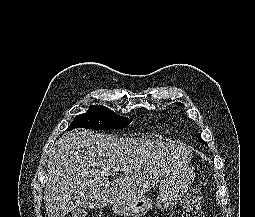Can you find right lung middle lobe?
Wrapping results in <instances>:
<instances>
[{
  "label": "right lung middle lobe",
  "mask_w": 255,
  "mask_h": 217,
  "mask_svg": "<svg viewBox=\"0 0 255 217\" xmlns=\"http://www.w3.org/2000/svg\"><path fill=\"white\" fill-rule=\"evenodd\" d=\"M129 119L115 114L112 110L102 105H91L87 113L77 115L68 130L74 128L87 129H114L125 127Z\"/></svg>",
  "instance_id": "obj_1"
}]
</instances>
